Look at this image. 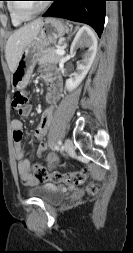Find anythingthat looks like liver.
<instances>
[{
    "instance_id": "liver-1",
    "label": "liver",
    "mask_w": 133,
    "mask_h": 253,
    "mask_svg": "<svg viewBox=\"0 0 133 253\" xmlns=\"http://www.w3.org/2000/svg\"><path fill=\"white\" fill-rule=\"evenodd\" d=\"M42 19H37L16 30L6 43L5 56L9 69L13 72L23 50L37 37Z\"/></svg>"
}]
</instances>
